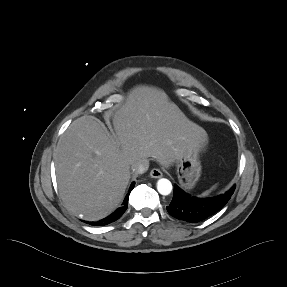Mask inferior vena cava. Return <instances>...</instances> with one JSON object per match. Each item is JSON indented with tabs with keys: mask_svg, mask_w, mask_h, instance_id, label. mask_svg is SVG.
Wrapping results in <instances>:
<instances>
[{
	"mask_svg": "<svg viewBox=\"0 0 287 287\" xmlns=\"http://www.w3.org/2000/svg\"><path fill=\"white\" fill-rule=\"evenodd\" d=\"M148 168H149V162L147 159H143L132 165V171L135 174H143L148 170Z\"/></svg>",
	"mask_w": 287,
	"mask_h": 287,
	"instance_id": "602c4592",
	"label": "inferior vena cava"
}]
</instances>
